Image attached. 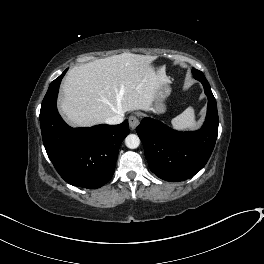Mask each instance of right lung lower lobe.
Segmentation results:
<instances>
[{
  "label": "right lung lower lobe",
  "mask_w": 264,
  "mask_h": 264,
  "mask_svg": "<svg viewBox=\"0 0 264 264\" xmlns=\"http://www.w3.org/2000/svg\"><path fill=\"white\" fill-rule=\"evenodd\" d=\"M51 82L40 110V126L47 155L69 184L96 189L113 176L121 142L129 133L128 120L119 125L71 128L56 108L61 79Z\"/></svg>",
  "instance_id": "right-lung-lower-lobe-1"
}]
</instances>
